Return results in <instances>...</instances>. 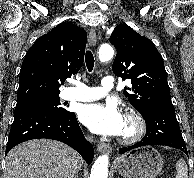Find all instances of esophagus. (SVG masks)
<instances>
[{
  "label": "esophagus",
  "instance_id": "1",
  "mask_svg": "<svg viewBox=\"0 0 194 178\" xmlns=\"http://www.w3.org/2000/svg\"><path fill=\"white\" fill-rule=\"evenodd\" d=\"M88 42L89 45L94 47L96 45L97 42V36H96V32L94 29H91L88 35ZM97 150L101 153H110L112 151V148L109 144L106 143H100L97 146Z\"/></svg>",
  "mask_w": 194,
  "mask_h": 178
}]
</instances>
